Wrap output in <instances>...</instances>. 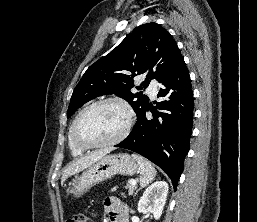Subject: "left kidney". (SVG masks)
Returning <instances> with one entry per match:
<instances>
[{"mask_svg":"<svg viewBox=\"0 0 257 222\" xmlns=\"http://www.w3.org/2000/svg\"><path fill=\"white\" fill-rule=\"evenodd\" d=\"M168 194V184L165 181H156L143 193L138 203L140 213H152L158 220L163 212Z\"/></svg>","mask_w":257,"mask_h":222,"instance_id":"5707ae66","label":"left kidney"}]
</instances>
